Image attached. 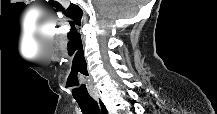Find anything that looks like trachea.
Returning a JSON list of instances; mask_svg holds the SVG:
<instances>
[{
    "mask_svg": "<svg viewBox=\"0 0 217 114\" xmlns=\"http://www.w3.org/2000/svg\"><path fill=\"white\" fill-rule=\"evenodd\" d=\"M83 114H100L98 103L93 98L75 99Z\"/></svg>",
    "mask_w": 217,
    "mask_h": 114,
    "instance_id": "obj_1",
    "label": "trachea"
}]
</instances>
